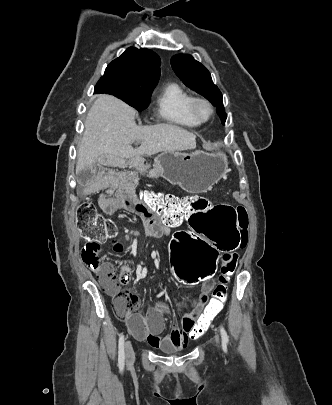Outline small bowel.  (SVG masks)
<instances>
[{"mask_svg":"<svg viewBox=\"0 0 332 405\" xmlns=\"http://www.w3.org/2000/svg\"><path fill=\"white\" fill-rule=\"evenodd\" d=\"M144 159L142 157L135 160L138 168L143 169ZM89 168H82L75 177V186H99L101 180L105 177L107 186L106 192L102 194L98 203V210L103 211L104 215H129L135 214L140 217L145 225L146 235L150 238H159L166 236L170 230L176 227L180 220L171 223H164L161 219L154 221L151 213L143 212L141 199L133 188L132 180H137V171H128V168H109L108 163L90 162ZM105 170V171H104ZM105 174V176H104ZM115 177L121 178L116 181ZM115 190V192H111ZM237 250V249H236ZM111 270V266L105 264L97 269L100 282L104 285L103 274ZM131 277V269L124 265L121 268L119 280L127 283ZM214 282L212 277L210 281L202 282L201 290L190 301L179 300L178 306L182 310H188L182 319L180 327L175 328L171 334L161 337L165 327L164 315L168 307L164 303H158L149 308L146 315L127 314L122 315L116 309L119 316H125L126 324L131 334L138 340L147 342L150 346L160 349L163 352L175 353L176 349L186 347L190 341L189 331L195 329V323L199 317V312L203 311L209 300V294L213 290ZM136 303H134L135 305ZM204 331H202L203 333Z\"/></svg>","mask_w":332,"mask_h":405,"instance_id":"small-bowel-1","label":"small bowel"}]
</instances>
